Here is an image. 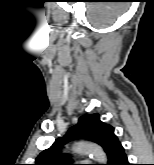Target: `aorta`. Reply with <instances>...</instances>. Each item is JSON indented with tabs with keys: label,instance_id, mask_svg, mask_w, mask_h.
<instances>
[{
	"label": "aorta",
	"instance_id": "1",
	"mask_svg": "<svg viewBox=\"0 0 154 165\" xmlns=\"http://www.w3.org/2000/svg\"><path fill=\"white\" fill-rule=\"evenodd\" d=\"M73 150L79 154L90 155L100 164H106L107 162V156L103 149L94 143L81 141L74 145Z\"/></svg>",
	"mask_w": 154,
	"mask_h": 165
}]
</instances>
